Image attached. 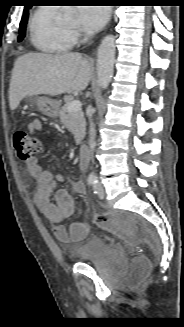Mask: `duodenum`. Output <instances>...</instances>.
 Returning a JSON list of instances; mask_svg holds the SVG:
<instances>
[{"instance_id":"duodenum-1","label":"duodenum","mask_w":184,"mask_h":327,"mask_svg":"<svg viewBox=\"0 0 184 327\" xmlns=\"http://www.w3.org/2000/svg\"><path fill=\"white\" fill-rule=\"evenodd\" d=\"M78 157L81 167L85 168L88 164V146L86 144L79 146Z\"/></svg>"}]
</instances>
